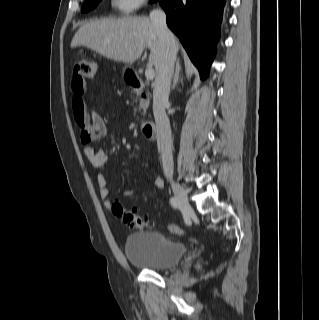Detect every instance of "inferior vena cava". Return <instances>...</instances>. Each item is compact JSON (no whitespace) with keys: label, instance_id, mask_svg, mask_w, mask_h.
<instances>
[{"label":"inferior vena cava","instance_id":"602c4592","mask_svg":"<svg viewBox=\"0 0 319 320\" xmlns=\"http://www.w3.org/2000/svg\"><path fill=\"white\" fill-rule=\"evenodd\" d=\"M150 20L158 33L163 53L157 71L153 90V113L160 133V147L163 170L166 175L173 174L172 135L165 108L168 105L171 78L176 60V43L166 24L164 11L156 9L150 12Z\"/></svg>","mask_w":319,"mask_h":320}]
</instances>
